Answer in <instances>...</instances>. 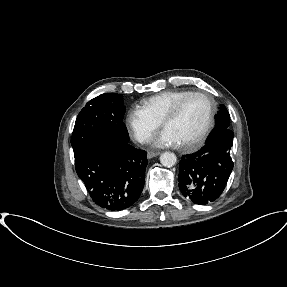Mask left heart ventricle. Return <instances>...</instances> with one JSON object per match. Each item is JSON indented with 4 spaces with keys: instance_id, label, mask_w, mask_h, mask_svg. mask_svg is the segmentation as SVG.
Instances as JSON below:
<instances>
[{
    "instance_id": "b2bd125f",
    "label": "left heart ventricle",
    "mask_w": 287,
    "mask_h": 287,
    "mask_svg": "<svg viewBox=\"0 0 287 287\" xmlns=\"http://www.w3.org/2000/svg\"><path fill=\"white\" fill-rule=\"evenodd\" d=\"M208 114L206 101L201 97L190 98L179 114L164 124V129L172 132L179 143L196 138L203 130Z\"/></svg>"
}]
</instances>
